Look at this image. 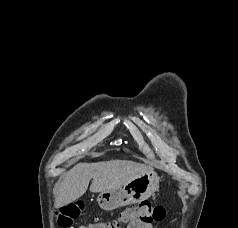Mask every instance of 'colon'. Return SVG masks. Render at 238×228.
Segmentation results:
<instances>
[{
	"mask_svg": "<svg viewBox=\"0 0 238 228\" xmlns=\"http://www.w3.org/2000/svg\"><path fill=\"white\" fill-rule=\"evenodd\" d=\"M83 210L80 202L61 206L55 214L57 224L60 228H70L74 220L79 217ZM166 217V210L160 205L149 201H143L136 206L125 208L113 221H94L81 225L79 228H120L121 224H154L161 222Z\"/></svg>",
	"mask_w": 238,
	"mask_h": 228,
	"instance_id": "1",
	"label": "colon"
}]
</instances>
